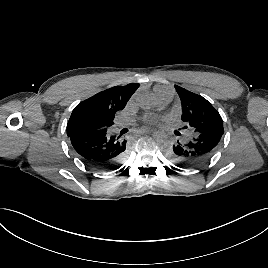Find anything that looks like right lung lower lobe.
I'll use <instances>...</instances> for the list:
<instances>
[{
    "label": "right lung lower lobe",
    "mask_w": 268,
    "mask_h": 268,
    "mask_svg": "<svg viewBox=\"0 0 268 268\" xmlns=\"http://www.w3.org/2000/svg\"><path fill=\"white\" fill-rule=\"evenodd\" d=\"M71 144L80 159L97 169H112L121 163L126 140L109 136L106 132L95 135H69Z\"/></svg>",
    "instance_id": "right-lung-lower-lobe-1"
}]
</instances>
